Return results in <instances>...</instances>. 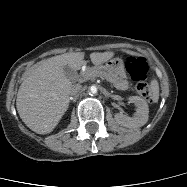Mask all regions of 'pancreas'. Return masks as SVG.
I'll use <instances>...</instances> for the list:
<instances>
[{
	"instance_id": "obj_1",
	"label": "pancreas",
	"mask_w": 187,
	"mask_h": 187,
	"mask_svg": "<svg viewBox=\"0 0 187 187\" xmlns=\"http://www.w3.org/2000/svg\"><path fill=\"white\" fill-rule=\"evenodd\" d=\"M104 77L109 82L113 83L117 88L121 87V84L119 81H116V79L111 76L109 71L104 67H93L88 68L85 73L81 74L82 80H94L96 77Z\"/></svg>"
}]
</instances>
